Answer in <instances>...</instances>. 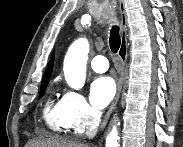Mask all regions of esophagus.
Wrapping results in <instances>:
<instances>
[{
    "instance_id": "34e87169",
    "label": "esophagus",
    "mask_w": 183,
    "mask_h": 147,
    "mask_svg": "<svg viewBox=\"0 0 183 147\" xmlns=\"http://www.w3.org/2000/svg\"><path fill=\"white\" fill-rule=\"evenodd\" d=\"M119 10H120V16H121V45H120V48L118 51V57L120 59V65H121L120 76L117 81L116 95L101 123V126H100L101 129H103L106 126V124L110 118V115L112 114V112L115 109L116 104L119 100L121 90H122V85H123L124 68H125V64H126V60H127V15H126V11H125L124 0H119Z\"/></svg>"
}]
</instances>
